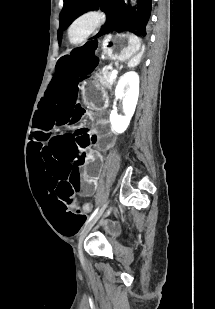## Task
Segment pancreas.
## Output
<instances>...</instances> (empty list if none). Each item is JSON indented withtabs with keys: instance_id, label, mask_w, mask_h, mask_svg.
Instances as JSON below:
<instances>
[{
	"instance_id": "cf45deb5",
	"label": "pancreas",
	"mask_w": 215,
	"mask_h": 309,
	"mask_svg": "<svg viewBox=\"0 0 215 309\" xmlns=\"http://www.w3.org/2000/svg\"><path fill=\"white\" fill-rule=\"evenodd\" d=\"M112 72L110 70H102L100 76H98V80H100V84H103V86H112L114 80H111Z\"/></svg>"
}]
</instances>
